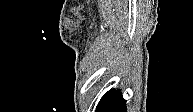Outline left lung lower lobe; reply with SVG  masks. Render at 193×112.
I'll use <instances>...</instances> for the list:
<instances>
[{
	"label": "left lung lower lobe",
	"instance_id": "1",
	"mask_svg": "<svg viewBox=\"0 0 193 112\" xmlns=\"http://www.w3.org/2000/svg\"><path fill=\"white\" fill-rule=\"evenodd\" d=\"M96 112H126V101L119 91L112 89L101 98Z\"/></svg>",
	"mask_w": 193,
	"mask_h": 112
}]
</instances>
